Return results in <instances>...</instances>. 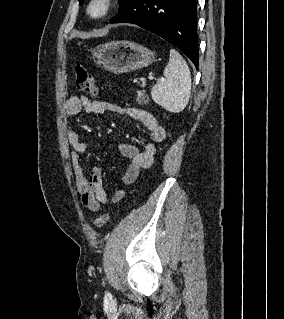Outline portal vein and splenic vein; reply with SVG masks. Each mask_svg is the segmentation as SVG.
<instances>
[{"label": "portal vein and splenic vein", "mask_w": 284, "mask_h": 319, "mask_svg": "<svg viewBox=\"0 0 284 319\" xmlns=\"http://www.w3.org/2000/svg\"><path fill=\"white\" fill-rule=\"evenodd\" d=\"M148 79H149V80H153V79H155V78L150 75V76L148 77ZM161 80H162V79H157V81H161Z\"/></svg>", "instance_id": "1"}]
</instances>
